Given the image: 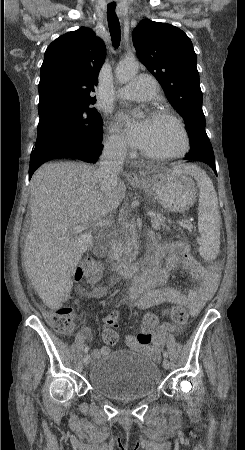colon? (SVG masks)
<instances>
[{"label": "colon", "mask_w": 245, "mask_h": 450, "mask_svg": "<svg viewBox=\"0 0 245 450\" xmlns=\"http://www.w3.org/2000/svg\"><path fill=\"white\" fill-rule=\"evenodd\" d=\"M219 268L217 263H212L209 269L215 271ZM102 268L92 258H86L81 266H79L74 273V281L80 282L86 280L89 284L94 285L98 282ZM172 320L180 325L187 323L189 319V311L183 305H173L166 311ZM47 321L52 324L57 330L68 332L72 328V312L63 302L56 309H47L45 311ZM119 315L117 312H111L104 318L105 328L102 334L103 341L108 345H114L118 342L119 336L114 328L118 324ZM158 323V317L155 315H147L142 322L140 332L137 335V341L141 344H147L151 341L153 333Z\"/></svg>", "instance_id": "colon-1"}]
</instances>
